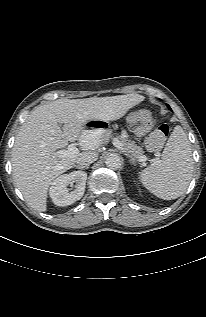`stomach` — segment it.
<instances>
[{"label": "stomach", "mask_w": 206, "mask_h": 317, "mask_svg": "<svg viewBox=\"0 0 206 317\" xmlns=\"http://www.w3.org/2000/svg\"><path fill=\"white\" fill-rule=\"evenodd\" d=\"M123 127L129 133H136L141 135L145 132L146 126H140L132 113L127 114L123 119ZM112 126L109 121L105 119L92 120L84 126L82 130V139L88 145H95L101 139L110 135Z\"/></svg>", "instance_id": "0dacf381"}]
</instances>
